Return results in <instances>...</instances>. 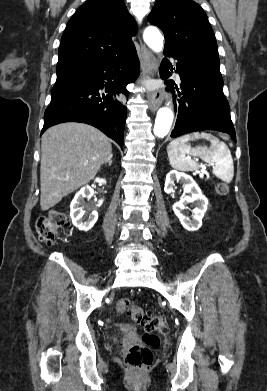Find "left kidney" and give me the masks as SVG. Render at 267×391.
<instances>
[{
	"mask_svg": "<svg viewBox=\"0 0 267 391\" xmlns=\"http://www.w3.org/2000/svg\"><path fill=\"white\" fill-rule=\"evenodd\" d=\"M175 181H181L183 183L184 192L190 193L191 195L184 196V198H182L179 202H176L173 205V211L185 229L188 231H196L202 225V219L207 210L208 200L202 194L200 188L191 176L175 170L170 171L166 176L164 191L167 194L174 192L173 187L175 185ZM186 203H194L195 205L192 220L190 217H187L182 213L185 209Z\"/></svg>",
	"mask_w": 267,
	"mask_h": 391,
	"instance_id": "1",
	"label": "left kidney"
}]
</instances>
